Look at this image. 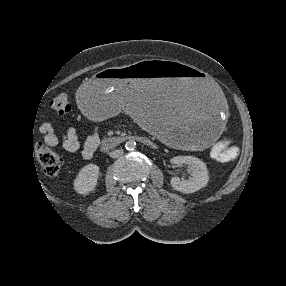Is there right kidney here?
<instances>
[{"instance_id":"ca27d5eb","label":"right kidney","mask_w":286,"mask_h":286,"mask_svg":"<svg viewBox=\"0 0 286 286\" xmlns=\"http://www.w3.org/2000/svg\"><path fill=\"white\" fill-rule=\"evenodd\" d=\"M99 177V167L95 164L84 166L74 180V189L79 194H89L94 191Z\"/></svg>"}]
</instances>
